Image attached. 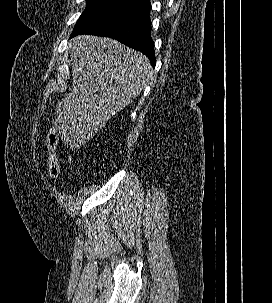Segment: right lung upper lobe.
Returning <instances> with one entry per match:
<instances>
[{
  "mask_svg": "<svg viewBox=\"0 0 272 303\" xmlns=\"http://www.w3.org/2000/svg\"><path fill=\"white\" fill-rule=\"evenodd\" d=\"M116 1H123L128 2L134 5H137L141 10H145L149 7H151L149 0H116Z\"/></svg>",
  "mask_w": 272,
  "mask_h": 303,
  "instance_id": "right-lung-upper-lobe-1",
  "label": "right lung upper lobe"
}]
</instances>
